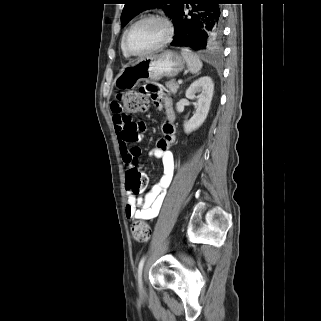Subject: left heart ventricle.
<instances>
[{
    "mask_svg": "<svg viewBox=\"0 0 321 321\" xmlns=\"http://www.w3.org/2000/svg\"><path fill=\"white\" fill-rule=\"evenodd\" d=\"M164 27L156 20H146L136 25L128 34L127 47L131 52H143L164 37Z\"/></svg>",
    "mask_w": 321,
    "mask_h": 321,
    "instance_id": "b2bd125f",
    "label": "left heart ventricle"
}]
</instances>
